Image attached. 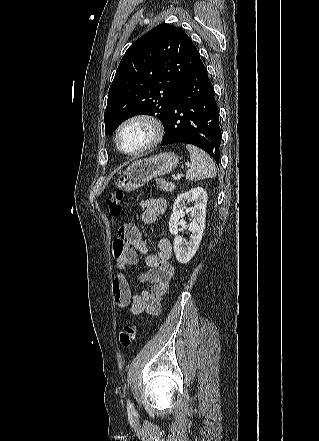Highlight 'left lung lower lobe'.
<instances>
[{
    "mask_svg": "<svg viewBox=\"0 0 319 441\" xmlns=\"http://www.w3.org/2000/svg\"><path fill=\"white\" fill-rule=\"evenodd\" d=\"M221 137L214 89L200 61L177 91L161 145L192 144L205 150L218 163Z\"/></svg>",
    "mask_w": 319,
    "mask_h": 441,
    "instance_id": "obj_1",
    "label": "left lung lower lobe"
}]
</instances>
